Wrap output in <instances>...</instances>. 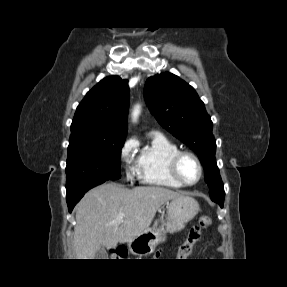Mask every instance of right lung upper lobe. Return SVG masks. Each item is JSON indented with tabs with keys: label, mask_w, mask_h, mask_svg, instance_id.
Here are the masks:
<instances>
[{
	"label": "right lung upper lobe",
	"mask_w": 287,
	"mask_h": 287,
	"mask_svg": "<svg viewBox=\"0 0 287 287\" xmlns=\"http://www.w3.org/2000/svg\"><path fill=\"white\" fill-rule=\"evenodd\" d=\"M128 80L109 76L95 85L78 105L71 132L86 129L98 137H125L129 108Z\"/></svg>",
	"instance_id": "1"
}]
</instances>
